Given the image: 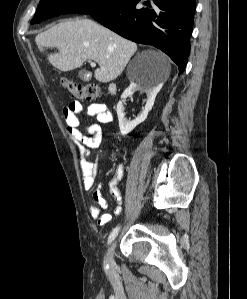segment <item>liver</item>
Returning <instances> with one entry per match:
<instances>
[{"label": "liver", "mask_w": 247, "mask_h": 299, "mask_svg": "<svg viewBox=\"0 0 247 299\" xmlns=\"http://www.w3.org/2000/svg\"><path fill=\"white\" fill-rule=\"evenodd\" d=\"M35 42L42 52L45 48L58 50L48 54L47 59L63 72L80 68L86 60L97 62L100 68L95 70L94 76L102 83L116 79L137 50L132 41L87 18L61 22L38 34ZM154 55L166 80L171 69L167 57L161 52Z\"/></svg>", "instance_id": "1"}]
</instances>
